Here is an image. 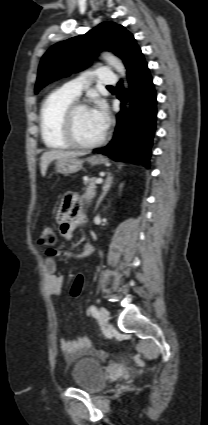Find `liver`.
Instances as JSON below:
<instances>
[{
    "label": "liver",
    "mask_w": 208,
    "mask_h": 425,
    "mask_svg": "<svg viewBox=\"0 0 208 425\" xmlns=\"http://www.w3.org/2000/svg\"><path fill=\"white\" fill-rule=\"evenodd\" d=\"M86 154L87 152H83V151L52 150V151L45 152L42 154L40 159L41 174L42 176L46 175L48 165L54 160L64 159V158H76L79 156H84Z\"/></svg>",
    "instance_id": "1"
}]
</instances>
